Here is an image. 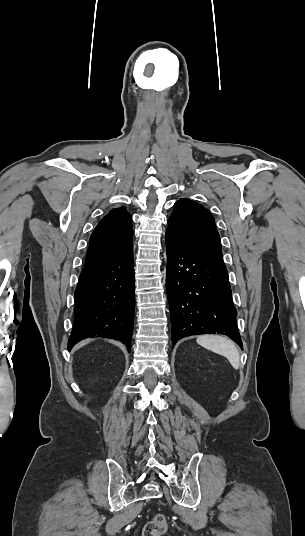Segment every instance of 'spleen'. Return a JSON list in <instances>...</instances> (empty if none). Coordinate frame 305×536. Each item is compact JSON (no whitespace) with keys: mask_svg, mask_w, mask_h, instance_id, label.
<instances>
[{"mask_svg":"<svg viewBox=\"0 0 305 536\" xmlns=\"http://www.w3.org/2000/svg\"><path fill=\"white\" fill-rule=\"evenodd\" d=\"M196 342L199 346L206 348V350H211V352H215V354L225 356V358L229 360L231 366H233L235 370H238L240 366L239 352L231 340H227V338H223V336H199Z\"/></svg>","mask_w":305,"mask_h":536,"instance_id":"3e777b00","label":"spleen"}]
</instances>
